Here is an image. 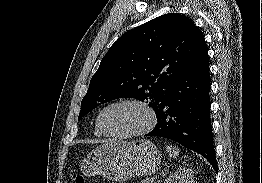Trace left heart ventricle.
<instances>
[{"instance_id": "b2bd125f", "label": "left heart ventricle", "mask_w": 262, "mask_h": 183, "mask_svg": "<svg viewBox=\"0 0 262 183\" xmlns=\"http://www.w3.org/2000/svg\"><path fill=\"white\" fill-rule=\"evenodd\" d=\"M148 123V115L144 109L136 105H119L108 109L103 117L104 128L114 134H125L138 131Z\"/></svg>"}]
</instances>
